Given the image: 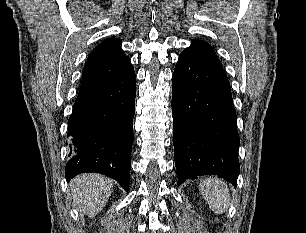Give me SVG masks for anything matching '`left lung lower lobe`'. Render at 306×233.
I'll return each mask as SVG.
<instances>
[{"label": "left lung lower lobe", "mask_w": 306, "mask_h": 233, "mask_svg": "<svg viewBox=\"0 0 306 233\" xmlns=\"http://www.w3.org/2000/svg\"><path fill=\"white\" fill-rule=\"evenodd\" d=\"M173 144L178 184L216 174L234 186L240 173L236 112L218 59L184 51L173 73Z\"/></svg>", "instance_id": "0a47b994"}]
</instances>
